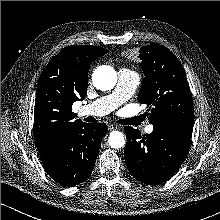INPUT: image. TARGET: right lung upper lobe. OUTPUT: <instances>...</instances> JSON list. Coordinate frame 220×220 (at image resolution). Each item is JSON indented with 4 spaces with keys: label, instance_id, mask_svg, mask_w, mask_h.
I'll use <instances>...</instances> for the list:
<instances>
[{
    "label": "right lung upper lobe",
    "instance_id": "obj_1",
    "mask_svg": "<svg viewBox=\"0 0 220 220\" xmlns=\"http://www.w3.org/2000/svg\"><path fill=\"white\" fill-rule=\"evenodd\" d=\"M106 53V49L98 46H68L44 68L34 108L35 142L39 152L83 123L74 120L72 105L86 95L90 64Z\"/></svg>",
    "mask_w": 220,
    "mask_h": 220
}]
</instances>
